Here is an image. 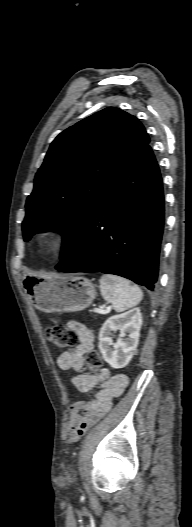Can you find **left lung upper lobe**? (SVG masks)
<instances>
[{"label":"left lung upper lobe","mask_w":192,"mask_h":527,"mask_svg":"<svg viewBox=\"0 0 192 527\" xmlns=\"http://www.w3.org/2000/svg\"><path fill=\"white\" fill-rule=\"evenodd\" d=\"M149 142L138 119L116 107L60 133L27 198L24 240L38 232L60 231L62 259L111 185Z\"/></svg>","instance_id":"obj_1"}]
</instances>
